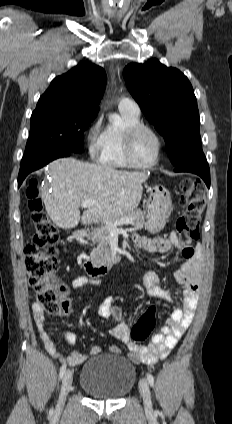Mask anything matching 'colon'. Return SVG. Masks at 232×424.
<instances>
[{
	"instance_id": "colon-1",
	"label": "colon",
	"mask_w": 232,
	"mask_h": 424,
	"mask_svg": "<svg viewBox=\"0 0 232 424\" xmlns=\"http://www.w3.org/2000/svg\"><path fill=\"white\" fill-rule=\"evenodd\" d=\"M181 192L180 204L185 210L177 220L176 231L181 255L190 258L194 254L191 244L198 238L200 219L206 205L205 187L200 180L186 179L181 183ZM26 196L35 229L33 240L24 251L29 283L39 306L50 314H64L65 306L60 299L61 283L56 277L59 233L44 210L35 179L29 182ZM156 321V308H148L131 328L132 339L144 341L154 330Z\"/></svg>"
}]
</instances>
